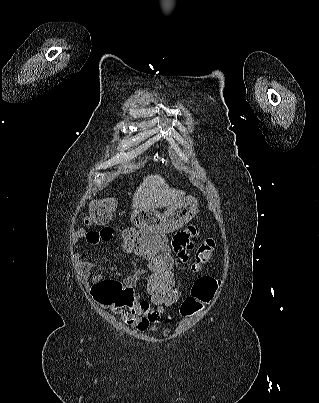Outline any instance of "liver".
I'll return each instance as SVG.
<instances>
[{
	"instance_id": "liver-1",
	"label": "liver",
	"mask_w": 319,
	"mask_h": 403,
	"mask_svg": "<svg viewBox=\"0 0 319 403\" xmlns=\"http://www.w3.org/2000/svg\"><path fill=\"white\" fill-rule=\"evenodd\" d=\"M185 198V192L170 188L160 175H148L133 196L135 210H151L172 206Z\"/></svg>"
}]
</instances>
